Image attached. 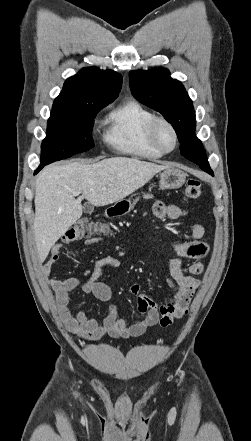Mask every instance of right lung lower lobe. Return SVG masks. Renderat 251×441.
<instances>
[{
	"label": "right lung lower lobe",
	"instance_id": "right-lung-lower-lobe-1",
	"mask_svg": "<svg viewBox=\"0 0 251 441\" xmlns=\"http://www.w3.org/2000/svg\"><path fill=\"white\" fill-rule=\"evenodd\" d=\"M45 165H46L45 163H41L40 166H39V168L35 171V174H36L40 169H42Z\"/></svg>",
	"mask_w": 251,
	"mask_h": 441
}]
</instances>
